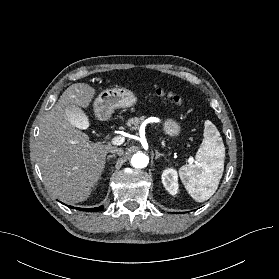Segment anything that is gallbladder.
<instances>
[{
  "label": "gallbladder",
  "mask_w": 279,
  "mask_h": 279,
  "mask_svg": "<svg viewBox=\"0 0 279 279\" xmlns=\"http://www.w3.org/2000/svg\"><path fill=\"white\" fill-rule=\"evenodd\" d=\"M67 116L70 122L79 128H84L86 121L83 112L77 106H67Z\"/></svg>",
  "instance_id": "bac80fb5"
}]
</instances>
